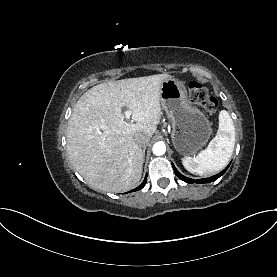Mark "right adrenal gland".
Masks as SVG:
<instances>
[{
    "label": "right adrenal gland",
    "instance_id": "1",
    "mask_svg": "<svg viewBox=\"0 0 277 277\" xmlns=\"http://www.w3.org/2000/svg\"><path fill=\"white\" fill-rule=\"evenodd\" d=\"M145 148L143 149V159H144V157H145Z\"/></svg>",
    "mask_w": 277,
    "mask_h": 277
}]
</instances>
